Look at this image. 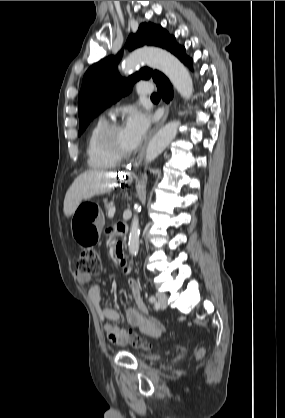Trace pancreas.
<instances>
[{
	"mask_svg": "<svg viewBox=\"0 0 285 418\" xmlns=\"http://www.w3.org/2000/svg\"><path fill=\"white\" fill-rule=\"evenodd\" d=\"M104 207L106 209V211H109V209L111 208V204L108 203L106 200L104 201Z\"/></svg>",
	"mask_w": 285,
	"mask_h": 418,
	"instance_id": "cf45deb5",
	"label": "pancreas"
}]
</instances>
